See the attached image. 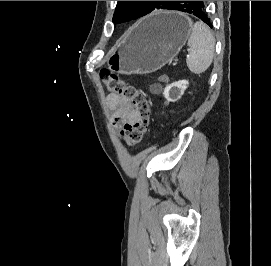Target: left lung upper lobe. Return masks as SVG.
Segmentation results:
<instances>
[{
	"label": "left lung upper lobe",
	"mask_w": 271,
	"mask_h": 266,
	"mask_svg": "<svg viewBox=\"0 0 271 266\" xmlns=\"http://www.w3.org/2000/svg\"><path fill=\"white\" fill-rule=\"evenodd\" d=\"M175 1H118L113 16L115 24L137 19L156 9H169Z\"/></svg>",
	"instance_id": "obj_1"
}]
</instances>
